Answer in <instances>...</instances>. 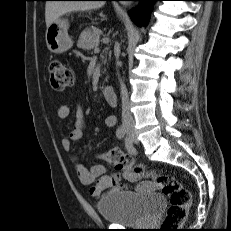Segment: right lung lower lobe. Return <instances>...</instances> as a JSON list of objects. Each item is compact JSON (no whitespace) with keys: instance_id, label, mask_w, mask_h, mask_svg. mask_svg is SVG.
Wrapping results in <instances>:
<instances>
[{"instance_id":"1","label":"right lung lower lobe","mask_w":231,"mask_h":231,"mask_svg":"<svg viewBox=\"0 0 231 231\" xmlns=\"http://www.w3.org/2000/svg\"><path fill=\"white\" fill-rule=\"evenodd\" d=\"M134 1H140V4L137 8L129 12V16L131 17V19L136 25L141 26L142 23L146 22V20L148 19L147 16L150 12L152 3L157 0H134Z\"/></svg>"}]
</instances>
